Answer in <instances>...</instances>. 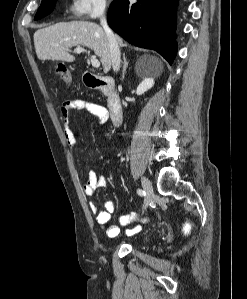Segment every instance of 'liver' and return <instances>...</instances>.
Wrapping results in <instances>:
<instances>
[{
  "mask_svg": "<svg viewBox=\"0 0 247 299\" xmlns=\"http://www.w3.org/2000/svg\"><path fill=\"white\" fill-rule=\"evenodd\" d=\"M118 46H123L122 39L115 35ZM34 45L38 59L73 62L75 57L69 53L74 46H86L100 58L104 73L111 69V54L108 37L104 29L89 21L61 22L37 30L34 33ZM154 67L155 74H161L162 62L155 56H144Z\"/></svg>",
  "mask_w": 247,
  "mask_h": 299,
  "instance_id": "1",
  "label": "liver"
}]
</instances>
